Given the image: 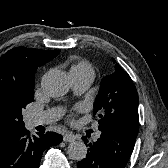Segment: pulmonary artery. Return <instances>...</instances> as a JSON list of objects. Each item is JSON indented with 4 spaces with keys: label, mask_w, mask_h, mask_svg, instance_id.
Returning <instances> with one entry per match:
<instances>
[{
    "label": "pulmonary artery",
    "mask_w": 168,
    "mask_h": 168,
    "mask_svg": "<svg viewBox=\"0 0 168 168\" xmlns=\"http://www.w3.org/2000/svg\"><path fill=\"white\" fill-rule=\"evenodd\" d=\"M94 76L92 75H78L72 77L73 88L77 92L85 91L93 82ZM60 116V111L49 110L38 115H31L26 119V124L28 128H34L38 125L47 124L52 122ZM101 133L97 131L95 133V138H99Z\"/></svg>",
    "instance_id": "1"
}]
</instances>
